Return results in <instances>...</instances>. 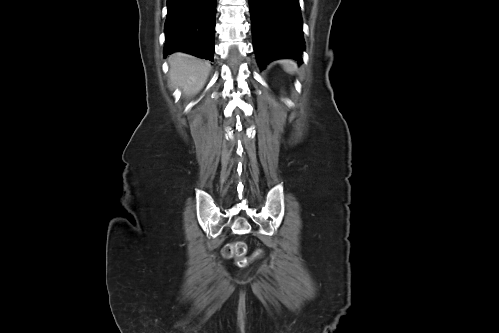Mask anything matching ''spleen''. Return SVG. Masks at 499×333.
I'll list each match as a JSON object with an SVG mask.
<instances>
[{
	"mask_svg": "<svg viewBox=\"0 0 499 333\" xmlns=\"http://www.w3.org/2000/svg\"><path fill=\"white\" fill-rule=\"evenodd\" d=\"M282 64H283L285 71L288 73H291V74L295 73L298 69L297 64L293 60H290V59L283 60Z\"/></svg>",
	"mask_w": 499,
	"mask_h": 333,
	"instance_id": "1",
	"label": "spleen"
}]
</instances>
